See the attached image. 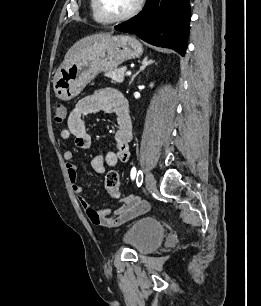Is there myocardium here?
<instances>
[{"instance_id":"f54148a6","label":"myocardium","mask_w":261,"mask_h":306,"mask_svg":"<svg viewBox=\"0 0 261 306\" xmlns=\"http://www.w3.org/2000/svg\"><path fill=\"white\" fill-rule=\"evenodd\" d=\"M143 3H144V0H137L135 6L127 13L122 14V15H113L106 9L103 0H96V6H97L98 12L108 22H120V21H125V20L132 18L141 10Z\"/></svg>"}]
</instances>
